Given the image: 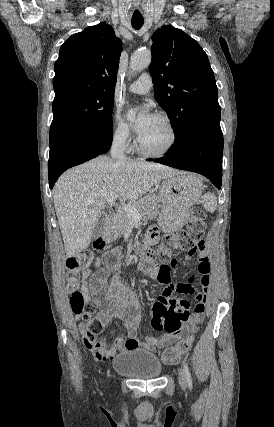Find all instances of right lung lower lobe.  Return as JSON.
<instances>
[{"mask_svg":"<svg viewBox=\"0 0 274 427\" xmlns=\"http://www.w3.org/2000/svg\"><path fill=\"white\" fill-rule=\"evenodd\" d=\"M112 143V129L84 131L61 138L50 147L48 173L52 189L58 177L68 168L106 153Z\"/></svg>","mask_w":274,"mask_h":427,"instance_id":"right-lung-lower-lobe-1","label":"right lung lower lobe"}]
</instances>
